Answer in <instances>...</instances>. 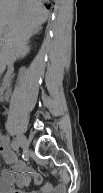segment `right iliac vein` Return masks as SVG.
<instances>
[{
	"instance_id": "1",
	"label": "right iliac vein",
	"mask_w": 103,
	"mask_h": 193,
	"mask_svg": "<svg viewBox=\"0 0 103 193\" xmlns=\"http://www.w3.org/2000/svg\"><path fill=\"white\" fill-rule=\"evenodd\" d=\"M17 140H18L21 148H22L24 151H27L29 144H28L26 138H25L23 135H18Z\"/></svg>"
}]
</instances>
